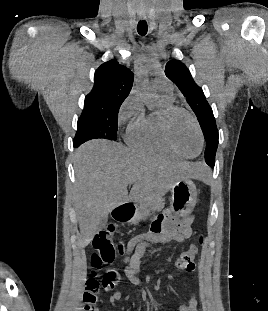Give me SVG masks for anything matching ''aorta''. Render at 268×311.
Listing matches in <instances>:
<instances>
[{"label":"aorta","mask_w":268,"mask_h":311,"mask_svg":"<svg viewBox=\"0 0 268 311\" xmlns=\"http://www.w3.org/2000/svg\"><path fill=\"white\" fill-rule=\"evenodd\" d=\"M152 69L153 68L151 65L145 64V63H143L139 66V71H140V74H142V75L150 73L152 71ZM137 89L139 92H141L145 95H149V93L151 91V87L148 84L147 80H145V79H140L138 81ZM148 102H151V100H149Z\"/></svg>","instance_id":"obj_1"}]
</instances>
